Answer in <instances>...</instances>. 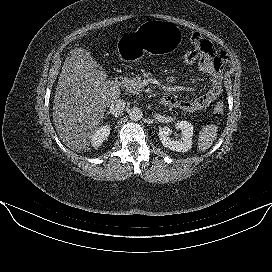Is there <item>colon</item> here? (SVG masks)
I'll return each mask as SVG.
<instances>
[{"label":"colon","instance_id":"obj_1","mask_svg":"<svg viewBox=\"0 0 272 272\" xmlns=\"http://www.w3.org/2000/svg\"><path fill=\"white\" fill-rule=\"evenodd\" d=\"M199 55L198 50H186L180 54L179 58L182 63L191 64L197 60ZM214 112L216 114H222L224 112L223 102L220 101L214 106Z\"/></svg>","mask_w":272,"mask_h":272}]
</instances>
